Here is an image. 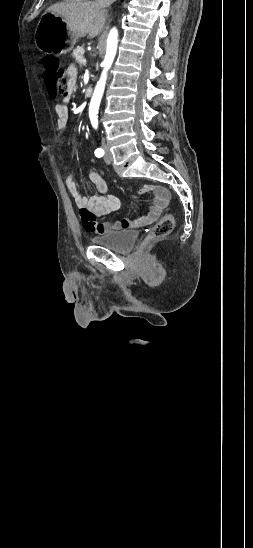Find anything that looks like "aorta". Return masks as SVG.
<instances>
[{
    "label": "aorta",
    "mask_w": 253,
    "mask_h": 548,
    "mask_svg": "<svg viewBox=\"0 0 253 548\" xmlns=\"http://www.w3.org/2000/svg\"><path fill=\"white\" fill-rule=\"evenodd\" d=\"M117 44H118V31L116 28H113L110 31L107 39L106 55L102 63L104 69L101 74L100 80L97 82V85L95 87L93 96L91 98L90 107H89L90 117L95 126H97L96 114L98 112L101 98L104 93L106 79H107V72L110 69L113 63V60L115 58L116 51H117Z\"/></svg>",
    "instance_id": "aorta-1"
}]
</instances>
